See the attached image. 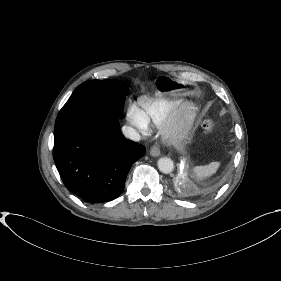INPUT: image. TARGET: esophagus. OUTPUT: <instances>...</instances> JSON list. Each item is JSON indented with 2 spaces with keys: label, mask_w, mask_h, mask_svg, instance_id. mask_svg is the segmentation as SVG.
I'll list each match as a JSON object with an SVG mask.
<instances>
[{
  "label": "esophagus",
  "mask_w": 281,
  "mask_h": 281,
  "mask_svg": "<svg viewBox=\"0 0 281 281\" xmlns=\"http://www.w3.org/2000/svg\"><path fill=\"white\" fill-rule=\"evenodd\" d=\"M150 154L153 157H158L161 154V150L159 146H153L150 150Z\"/></svg>",
  "instance_id": "obj_1"
}]
</instances>
